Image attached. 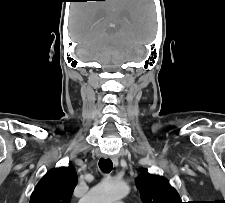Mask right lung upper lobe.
I'll return each mask as SVG.
<instances>
[{
  "instance_id": "cb5924a9",
  "label": "right lung upper lobe",
  "mask_w": 225,
  "mask_h": 203,
  "mask_svg": "<svg viewBox=\"0 0 225 203\" xmlns=\"http://www.w3.org/2000/svg\"><path fill=\"white\" fill-rule=\"evenodd\" d=\"M77 174L72 165L50 170L37 184L30 203H70Z\"/></svg>"
}]
</instances>
